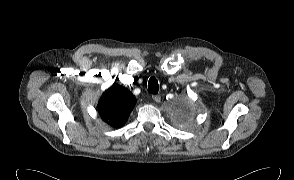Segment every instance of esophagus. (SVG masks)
I'll use <instances>...</instances> for the list:
<instances>
[{
	"instance_id": "esophagus-1",
	"label": "esophagus",
	"mask_w": 294,
	"mask_h": 180,
	"mask_svg": "<svg viewBox=\"0 0 294 180\" xmlns=\"http://www.w3.org/2000/svg\"><path fill=\"white\" fill-rule=\"evenodd\" d=\"M152 99H153L155 102L159 103V102L161 101V96H160V95H153V96H152Z\"/></svg>"
}]
</instances>
